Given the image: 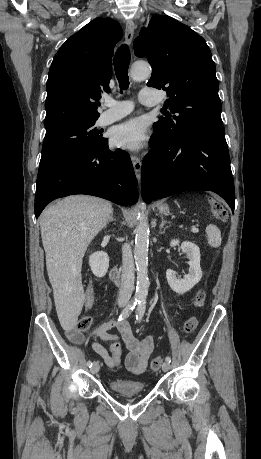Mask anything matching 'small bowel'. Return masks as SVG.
I'll list each match as a JSON object with an SVG mask.
<instances>
[{
    "mask_svg": "<svg viewBox=\"0 0 261 459\" xmlns=\"http://www.w3.org/2000/svg\"><path fill=\"white\" fill-rule=\"evenodd\" d=\"M95 290L94 285L91 283L85 293L84 297V309L89 310L94 304ZM116 328L118 334H111L109 331ZM68 339L75 343L81 344L84 340L82 334L75 329L68 331ZM93 342L92 348L105 362L110 369H114L115 362L120 358L111 356L106 348L99 342L103 341H119L121 340L126 348L127 353L125 355V366L127 370L133 374H141L147 368L149 358L154 350V339L151 335H147L142 339H138L132 330L131 325L125 319L119 321L118 319H112L101 324L97 327L92 334Z\"/></svg>",
    "mask_w": 261,
    "mask_h": 459,
    "instance_id": "c3829d8e",
    "label": "small bowel"
}]
</instances>
